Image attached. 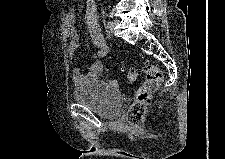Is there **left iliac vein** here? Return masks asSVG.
Wrapping results in <instances>:
<instances>
[{
  "label": "left iliac vein",
  "instance_id": "obj_1",
  "mask_svg": "<svg viewBox=\"0 0 225 159\" xmlns=\"http://www.w3.org/2000/svg\"><path fill=\"white\" fill-rule=\"evenodd\" d=\"M118 24V20L111 21L110 25L107 27L110 31H113L114 27Z\"/></svg>",
  "mask_w": 225,
  "mask_h": 159
}]
</instances>
